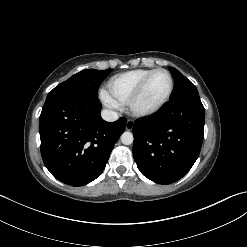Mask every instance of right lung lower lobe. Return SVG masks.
Wrapping results in <instances>:
<instances>
[{
	"label": "right lung lower lobe",
	"instance_id": "right-lung-lower-lobe-1",
	"mask_svg": "<svg viewBox=\"0 0 247 247\" xmlns=\"http://www.w3.org/2000/svg\"><path fill=\"white\" fill-rule=\"evenodd\" d=\"M98 98L61 95L47 98L40 115L41 155L59 181L82 186L104 170L126 119L106 122Z\"/></svg>",
	"mask_w": 247,
	"mask_h": 247
}]
</instances>
